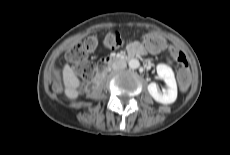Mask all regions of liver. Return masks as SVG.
<instances>
[{
	"label": "liver",
	"instance_id": "1",
	"mask_svg": "<svg viewBox=\"0 0 230 155\" xmlns=\"http://www.w3.org/2000/svg\"><path fill=\"white\" fill-rule=\"evenodd\" d=\"M63 83L65 86V95L70 99H76L79 95L77 88L80 86V81L72 68L65 64L62 71Z\"/></svg>",
	"mask_w": 230,
	"mask_h": 155
}]
</instances>
